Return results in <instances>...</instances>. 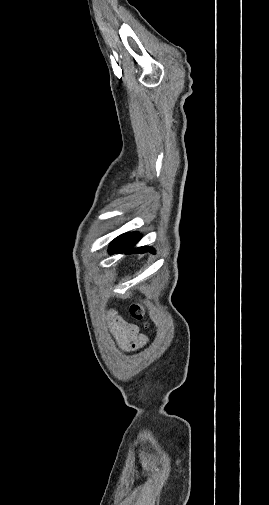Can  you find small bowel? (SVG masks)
<instances>
[{
    "mask_svg": "<svg viewBox=\"0 0 269 505\" xmlns=\"http://www.w3.org/2000/svg\"><path fill=\"white\" fill-rule=\"evenodd\" d=\"M111 329L119 344L127 350L137 349L146 343V337L136 325L126 321L116 312H111Z\"/></svg>",
    "mask_w": 269,
    "mask_h": 505,
    "instance_id": "small-bowel-1",
    "label": "small bowel"
}]
</instances>
